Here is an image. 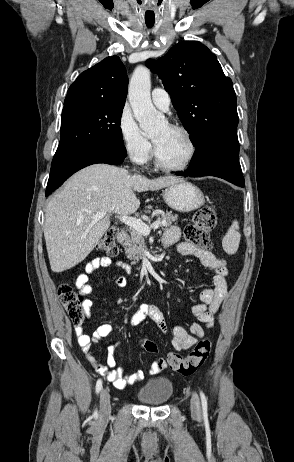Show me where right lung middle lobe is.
<instances>
[{
	"instance_id": "1",
	"label": "right lung middle lobe",
	"mask_w": 294,
	"mask_h": 462,
	"mask_svg": "<svg viewBox=\"0 0 294 462\" xmlns=\"http://www.w3.org/2000/svg\"><path fill=\"white\" fill-rule=\"evenodd\" d=\"M125 102L77 101L64 104L57 151L72 146L123 145L120 128Z\"/></svg>"
}]
</instances>
